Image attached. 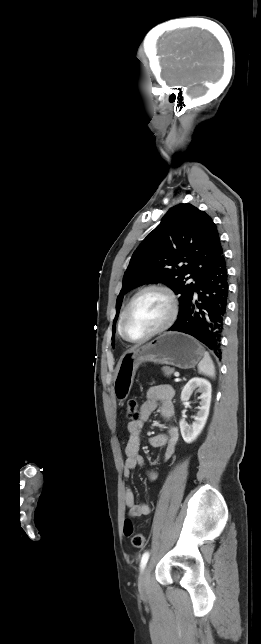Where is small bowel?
I'll list each match as a JSON object with an SVG mask.
<instances>
[{
    "mask_svg": "<svg viewBox=\"0 0 261 644\" xmlns=\"http://www.w3.org/2000/svg\"><path fill=\"white\" fill-rule=\"evenodd\" d=\"M173 397L174 390L169 385H158L148 389L145 401L140 408L139 419L130 421L127 425L129 439L125 447L126 459L123 465V475L125 478H129L131 472L144 463L143 457L139 453L141 431L144 423L150 418L158 406H160V414L168 423V426L164 433L152 435L149 438V443L155 448H165L164 460L170 459L175 453L179 441V432L177 427L170 423L175 412ZM156 476L155 471L149 472V478L151 480H155ZM124 501L128 515L133 518H139L150 513L149 504L146 502H136L134 493L129 487L125 490Z\"/></svg>",
    "mask_w": 261,
    "mask_h": 644,
    "instance_id": "small-bowel-1",
    "label": "small bowel"
}]
</instances>
